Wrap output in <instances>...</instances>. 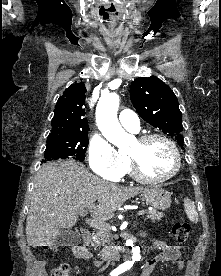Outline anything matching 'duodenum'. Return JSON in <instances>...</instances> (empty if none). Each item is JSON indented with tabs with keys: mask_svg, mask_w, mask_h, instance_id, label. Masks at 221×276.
Instances as JSON below:
<instances>
[{
	"mask_svg": "<svg viewBox=\"0 0 221 276\" xmlns=\"http://www.w3.org/2000/svg\"><path fill=\"white\" fill-rule=\"evenodd\" d=\"M81 239L84 244H89V242L91 241V232L88 229L81 230ZM111 255L112 250L110 249H103L100 251V257L102 259H108L111 257Z\"/></svg>",
	"mask_w": 221,
	"mask_h": 276,
	"instance_id": "obj_1",
	"label": "duodenum"
}]
</instances>
